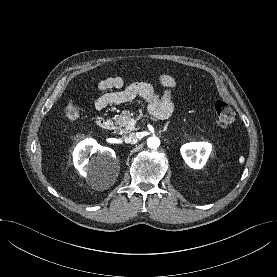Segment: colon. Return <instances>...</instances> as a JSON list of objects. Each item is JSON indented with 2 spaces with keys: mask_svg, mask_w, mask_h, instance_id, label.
<instances>
[{
  "mask_svg": "<svg viewBox=\"0 0 277 277\" xmlns=\"http://www.w3.org/2000/svg\"><path fill=\"white\" fill-rule=\"evenodd\" d=\"M215 126L220 129L229 127L235 120V113L224 101H217L214 106ZM66 118L76 120L80 116V106L77 100L70 101L63 110Z\"/></svg>",
  "mask_w": 277,
  "mask_h": 277,
  "instance_id": "1",
  "label": "colon"
}]
</instances>
